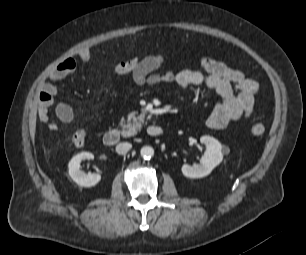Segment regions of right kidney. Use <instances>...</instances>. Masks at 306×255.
<instances>
[{"mask_svg": "<svg viewBox=\"0 0 306 255\" xmlns=\"http://www.w3.org/2000/svg\"><path fill=\"white\" fill-rule=\"evenodd\" d=\"M94 155L90 152H81L73 156L68 164L69 175L81 187L95 186L100 180L99 173H84L80 170V164L85 159H93Z\"/></svg>", "mask_w": 306, "mask_h": 255, "instance_id": "right-kidney-1", "label": "right kidney"}]
</instances>
